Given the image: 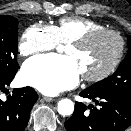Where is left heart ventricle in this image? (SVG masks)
Segmentation results:
<instances>
[{
  "mask_svg": "<svg viewBox=\"0 0 131 131\" xmlns=\"http://www.w3.org/2000/svg\"><path fill=\"white\" fill-rule=\"evenodd\" d=\"M118 40L109 34L95 37L83 47L67 46L65 53L77 63L80 73L95 75L105 70L118 50Z\"/></svg>",
  "mask_w": 131,
  "mask_h": 131,
  "instance_id": "b2bd125f",
  "label": "left heart ventricle"
}]
</instances>
